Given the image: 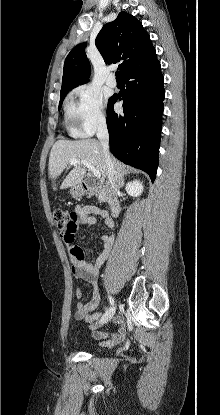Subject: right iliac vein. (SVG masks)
I'll return each instance as SVG.
<instances>
[{
  "label": "right iliac vein",
  "mask_w": 220,
  "mask_h": 415,
  "mask_svg": "<svg viewBox=\"0 0 220 415\" xmlns=\"http://www.w3.org/2000/svg\"><path fill=\"white\" fill-rule=\"evenodd\" d=\"M116 310V306L113 305L111 308L103 315V317L98 321V324H104L111 320Z\"/></svg>",
  "instance_id": "1"
}]
</instances>
